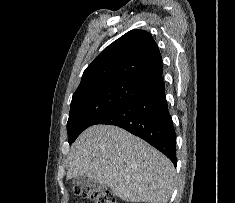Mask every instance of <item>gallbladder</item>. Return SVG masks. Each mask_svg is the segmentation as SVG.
I'll return each instance as SVG.
<instances>
[{
  "instance_id": "bac80fb5",
  "label": "gallbladder",
  "mask_w": 235,
  "mask_h": 203,
  "mask_svg": "<svg viewBox=\"0 0 235 203\" xmlns=\"http://www.w3.org/2000/svg\"><path fill=\"white\" fill-rule=\"evenodd\" d=\"M74 183L77 185H81V186H84L85 184H89L92 187H97L102 184V181L101 180H91V182H90L89 180H87L85 178H80V179H76L74 181Z\"/></svg>"
}]
</instances>
